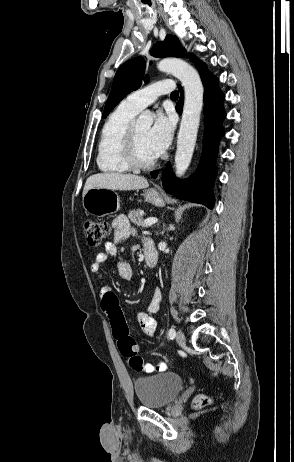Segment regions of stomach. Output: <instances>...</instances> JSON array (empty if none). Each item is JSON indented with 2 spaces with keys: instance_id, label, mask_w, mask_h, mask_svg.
Masks as SVG:
<instances>
[{
  "instance_id": "1",
  "label": "stomach",
  "mask_w": 294,
  "mask_h": 462,
  "mask_svg": "<svg viewBox=\"0 0 294 462\" xmlns=\"http://www.w3.org/2000/svg\"><path fill=\"white\" fill-rule=\"evenodd\" d=\"M146 201L157 207H163L165 202L155 189L144 192ZM83 207L88 214L104 217L114 214L120 209V200L116 192L106 188H91L83 196Z\"/></svg>"
}]
</instances>
